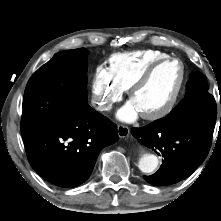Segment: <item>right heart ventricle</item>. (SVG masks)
Listing matches in <instances>:
<instances>
[{"label":"right heart ventricle","instance_id":"obj_1","mask_svg":"<svg viewBox=\"0 0 221 221\" xmlns=\"http://www.w3.org/2000/svg\"><path fill=\"white\" fill-rule=\"evenodd\" d=\"M166 57L168 53L154 49L116 53L108 60V71L123 90H128L149 65Z\"/></svg>","mask_w":221,"mask_h":221}]
</instances>
